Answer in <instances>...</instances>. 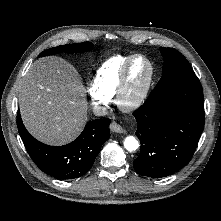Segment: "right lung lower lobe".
Masks as SVG:
<instances>
[{
    "mask_svg": "<svg viewBox=\"0 0 221 221\" xmlns=\"http://www.w3.org/2000/svg\"><path fill=\"white\" fill-rule=\"evenodd\" d=\"M108 118L87 123L80 136L64 146H49L32 137L17 114V127L24 146L38 168L58 179H74L88 172L103 143L110 138Z\"/></svg>",
    "mask_w": 221,
    "mask_h": 221,
    "instance_id": "98d812e1",
    "label": "right lung lower lobe"
}]
</instances>
